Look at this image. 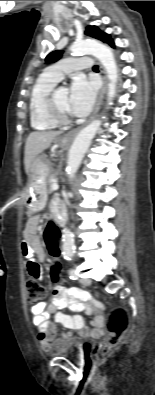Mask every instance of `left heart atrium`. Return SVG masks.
<instances>
[{
    "label": "left heart atrium",
    "instance_id": "obj_1",
    "mask_svg": "<svg viewBox=\"0 0 155 395\" xmlns=\"http://www.w3.org/2000/svg\"><path fill=\"white\" fill-rule=\"evenodd\" d=\"M96 84L84 77H76L71 85L68 110L73 116L87 115L95 101Z\"/></svg>",
    "mask_w": 155,
    "mask_h": 395
}]
</instances>
